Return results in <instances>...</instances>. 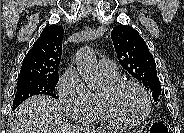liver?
<instances>
[{
	"label": "liver",
	"instance_id": "liver-1",
	"mask_svg": "<svg viewBox=\"0 0 184 133\" xmlns=\"http://www.w3.org/2000/svg\"><path fill=\"white\" fill-rule=\"evenodd\" d=\"M59 103L36 95L24 101L9 118V133H101L88 127H71L61 120Z\"/></svg>",
	"mask_w": 184,
	"mask_h": 133
}]
</instances>
